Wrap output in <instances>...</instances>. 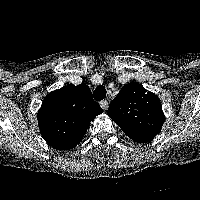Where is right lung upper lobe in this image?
<instances>
[{"label":"right lung upper lobe","mask_w":200,"mask_h":200,"mask_svg":"<svg viewBox=\"0 0 200 200\" xmlns=\"http://www.w3.org/2000/svg\"><path fill=\"white\" fill-rule=\"evenodd\" d=\"M99 109L91 98V92L83 84L69 85L58 93L50 94L42 112L46 139L55 146L72 145L84 132L90 117Z\"/></svg>","instance_id":"right-lung-upper-lobe-1"}]
</instances>
